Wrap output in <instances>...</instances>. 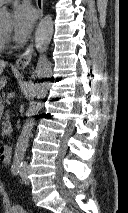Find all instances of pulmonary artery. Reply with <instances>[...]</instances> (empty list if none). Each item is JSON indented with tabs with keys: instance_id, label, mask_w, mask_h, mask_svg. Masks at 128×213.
<instances>
[{
	"instance_id": "obj_1",
	"label": "pulmonary artery",
	"mask_w": 128,
	"mask_h": 213,
	"mask_svg": "<svg viewBox=\"0 0 128 213\" xmlns=\"http://www.w3.org/2000/svg\"><path fill=\"white\" fill-rule=\"evenodd\" d=\"M8 1H10V0H0V5L5 3V2H8Z\"/></svg>"
}]
</instances>
